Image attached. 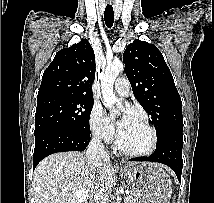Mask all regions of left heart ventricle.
I'll list each match as a JSON object with an SVG mask.
<instances>
[{
  "label": "left heart ventricle",
  "instance_id": "1",
  "mask_svg": "<svg viewBox=\"0 0 214 203\" xmlns=\"http://www.w3.org/2000/svg\"><path fill=\"white\" fill-rule=\"evenodd\" d=\"M120 141L126 149L142 151L150 145L151 135L148 129L135 119L120 130Z\"/></svg>",
  "mask_w": 214,
  "mask_h": 203
}]
</instances>
